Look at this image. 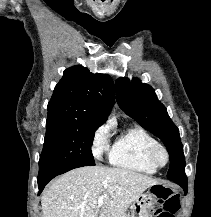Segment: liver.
I'll return each mask as SVG.
<instances>
[{"instance_id":"6515ba94","label":"liver","mask_w":211,"mask_h":217,"mask_svg":"<svg viewBox=\"0 0 211 217\" xmlns=\"http://www.w3.org/2000/svg\"><path fill=\"white\" fill-rule=\"evenodd\" d=\"M157 184L148 175L122 168H76L43 192L42 217H124L128 207ZM99 197H104L101 207Z\"/></svg>"}]
</instances>
